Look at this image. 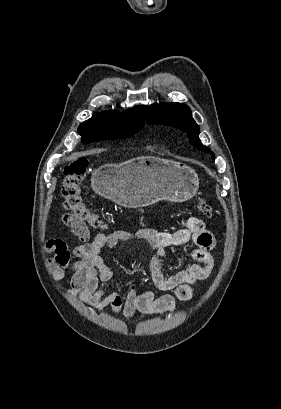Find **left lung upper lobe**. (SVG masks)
<instances>
[{
	"mask_svg": "<svg viewBox=\"0 0 281 409\" xmlns=\"http://www.w3.org/2000/svg\"><path fill=\"white\" fill-rule=\"evenodd\" d=\"M146 121L149 124H163L177 127L187 133L190 142L197 149L205 152H211L206 146L202 145L198 134L199 126L191 116V110L182 103H159L148 107H143ZM214 159V154L211 152Z\"/></svg>",
	"mask_w": 281,
	"mask_h": 409,
	"instance_id": "1",
	"label": "left lung upper lobe"
}]
</instances>
